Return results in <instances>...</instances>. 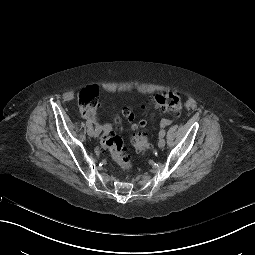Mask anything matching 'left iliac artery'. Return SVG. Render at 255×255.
<instances>
[{"mask_svg":"<svg viewBox=\"0 0 255 255\" xmlns=\"http://www.w3.org/2000/svg\"><path fill=\"white\" fill-rule=\"evenodd\" d=\"M165 133H166V131H165L164 129H162V130H160V132H159V136H160V137H164V136H165Z\"/></svg>","mask_w":255,"mask_h":255,"instance_id":"obj_1","label":"left iliac artery"}]
</instances>
